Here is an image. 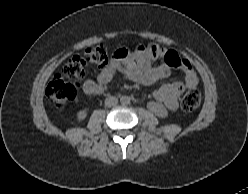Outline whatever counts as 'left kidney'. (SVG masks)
<instances>
[{
    "instance_id": "1",
    "label": "left kidney",
    "mask_w": 248,
    "mask_h": 194,
    "mask_svg": "<svg viewBox=\"0 0 248 194\" xmlns=\"http://www.w3.org/2000/svg\"><path fill=\"white\" fill-rule=\"evenodd\" d=\"M157 115H161V113H157Z\"/></svg>"
}]
</instances>
